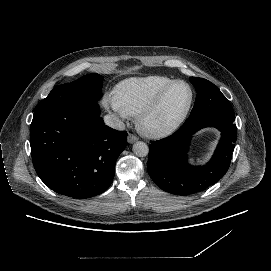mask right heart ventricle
<instances>
[{
    "instance_id": "obj_1",
    "label": "right heart ventricle",
    "mask_w": 271,
    "mask_h": 271,
    "mask_svg": "<svg viewBox=\"0 0 271 271\" xmlns=\"http://www.w3.org/2000/svg\"><path fill=\"white\" fill-rule=\"evenodd\" d=\"M174 80L164 75L130 78L117 86L116 97L127 116L138 117Z\"/></svg>"
}]
</instances>
